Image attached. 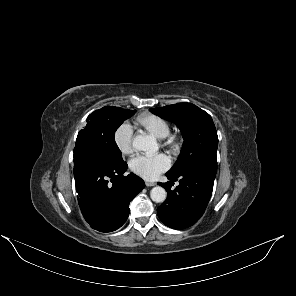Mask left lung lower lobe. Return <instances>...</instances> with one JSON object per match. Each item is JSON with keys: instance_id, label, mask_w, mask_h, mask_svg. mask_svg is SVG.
<instances>
[{"instance_id": "left-lung-lower-lobe-1", "label": "left lung lower lobe", "mask_w": 296, "mask_h": 296, "mask_svg": "<svg viewBox=\"0 0 296 296\" xmlns=\"http://www.w3.org/2000/svg\"><path fill=\"white\" fill-rule=\"evenodd\" d=\"M216 172V165H199L177 175L166 174L171 181L158 183L168 192L166 200L157 209L161 221L173 229L195 224L210 200ZM176 180L179 185L171 190L170 183Z\"/></svg>"}]
</instances>
